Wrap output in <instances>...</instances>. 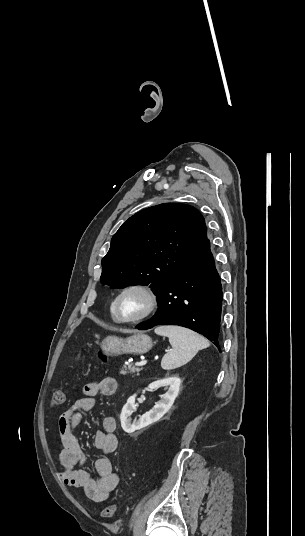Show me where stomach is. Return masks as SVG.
Listing matches in <instances>:
<instances>
[{
    "instance_id": "stomach-1",
    "label": "stomach",
    "mask_w": 305,
    "mask_h": 536,
    "mask_svg": "<svg viewBox=\"0 0 305 536\" xmlns=\"http://www.w3.org/2000/svg\"><path fill=\"white\" fill-rule=\"evenodd\" d=\"M153 346L152 338L146 334H134L130 338H117L107 336L100 344V348L106 356H120V354H146Z\"/></svg>"
}]
</instances>
